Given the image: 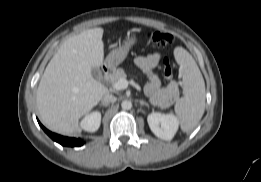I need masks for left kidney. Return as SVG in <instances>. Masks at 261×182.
Here are the masks:
<instances>
[{"instance_id":"1","label":"left kidney","mask_w":261,"mask_h":182,"mask_svg":"<svg viewBox=\"0 0 261 182\" xmlns=\"http://www.w3.org/2000/svg\"><path fill=\"white\" fill-rule=\"evenodd\" d=\"M147 121L151 131L163 140H171L179 126L178 119L172 114L153 112L148 115Z\"/></svg>"}]
</instances>
